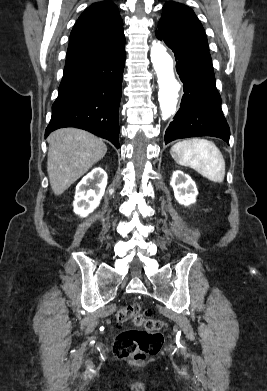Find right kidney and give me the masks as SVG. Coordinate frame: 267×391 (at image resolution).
<instances>
[{
  "label": "right kidney",
  "mask_w": 267,
  "mask_h": 391,
  "mask_svg": "<svg viewBox=\"0 0 267 391\" xmlns=\"http://www.w3.org/2000/svg\"><path fill=\"white\" fill-rule=\"evenodd\" d=\"M92 184L90 189L87 187ZM107 185V174L102 168H95L78 183L73 201L74 212L86 217L98 206Z\"/></svg>",
  "instance_id": "right-kidney-1"
}]
</instances>
